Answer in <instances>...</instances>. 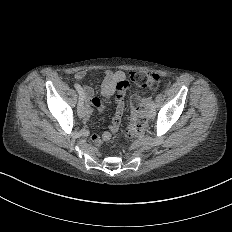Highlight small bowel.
Masks as SVG:
<instances>
[{
	"mask_svg": "<svg viewBox=\"0 0 232 232\" xmlns=\"http://www.w3.org/2000/svg\"><path fill=\"white\" fill-rule=\"evenodd\" d=\"M86 77V70L78 69L74 71V78L78 81L83 80ZM101 94L104 97H109L113 94L115 89H119V94L116 103V113L114 122L112 124V132L119 130L120 119L124 108V97L126 91L130 87V80L127 73L120 69L113 73L111 70H104L100 78ZM86 98V105L83 112V118H88L94 111L99 115H103L104 109L100 99L96 96L95 88L91 85H85L83 88ZM111 139L110 133H104L102 135H94L92 137L93 142L96 145H101Z\"/></svg>",
	"mask_w": 232,
	"mask_h": 232,
	"instance_id": "obj_1",
	"label": "small bowel"
}]
</instances>
